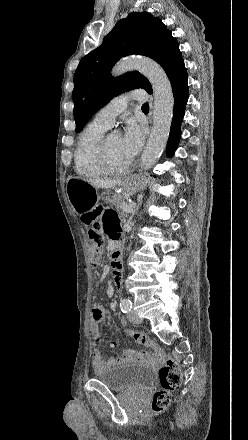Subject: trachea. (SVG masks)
<instances>
[{
    "instance_id": "trachea-1",
    "label": "trachea",
    "mask_w": 248,
    "mask_h": 440,
    "mask_svg": "<svg viewBox=\"0 0 248 440\" xmlns=\"http://www.w3.org/2000/svg\"><path fill=\"white\" fill-rule=\"evenodd\" d=\"M143 110H149V105L147 103L142 105Z\"/></svg>"
}]
</instances>
